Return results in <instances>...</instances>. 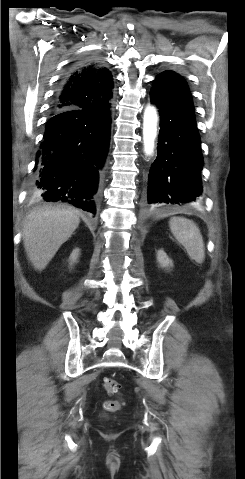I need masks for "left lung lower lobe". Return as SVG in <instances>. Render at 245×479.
<instances>
[{"mask_svg":"<svg viewBox=\"0 0 245 479\" xmlns=\"http://www.w3.org/2000/svg\"><path fill=\"white\" fill-rule=\"evenodd\" d=\"M150 100L159 108L161 128L146 201L162 206L197 202L203 157L188 86L178 74L156 77Z\"/></svg>","mask_w":245,"mask_h":479,"instance_id":"obj_1","label":"left lung lower lobe"}]
</instances>
